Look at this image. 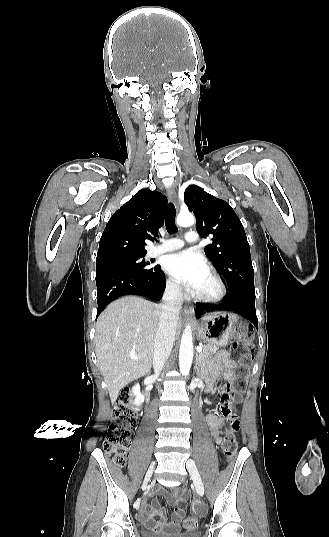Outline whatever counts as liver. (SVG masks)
<instances>
[{"label":"liver","instance_id":"obj_1","mask_svg":"<svg viewBox=\"0 0 329 537\" xmlns=\"http://www.w3.org/2000/svg\"><path fill=\"white\" fill-rule=\"evenodd\" d=\"M160 307L140 297L127 296L112 302L98 317L95 350L112 403L123 387L149 373ZM131 353L139 360H132Z\"/></svg>","mask_w":329,"mask_h":537}]
</instances>
